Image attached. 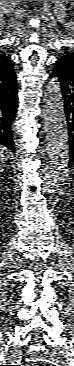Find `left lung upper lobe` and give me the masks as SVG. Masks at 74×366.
Masks as SVG:
<instances>
[{
  "instance_id": "left-lung-upper-lobe-1",
  "label": "left lung upper lobe",
  "mask_w": 74,
  "mask_h": 366,
  "mask_svg": "<svg viewBox=\"0 0 74 366\" xmlns=\"http://www.w3.org/2000/svg\"><path fill=\"white\" fill-rule=\"evenodd\" d=\"M64 57L72 58V60L74 61V53H68V54L64 55Z\"/></svg>"
}]
</instances>
